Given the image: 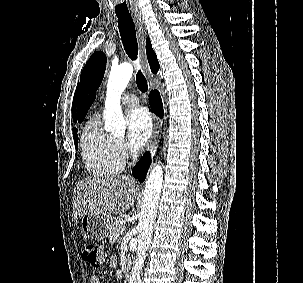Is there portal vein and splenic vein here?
<instances>
[{"instance_id": "obj_1", "label": "portal vein and splenic vein", "mask_w": 303, "mask_h": 283, "mask_svg": "<svg viewBox=\"0 0 303 283\" xmlns=\"http://www.w3.org/2000/svg\"><path fill=\"white\" fill-rule=\"evenodd\" d=\"M125 232V228L122 229L121 233L123 234Z\"/></svg>"}]
</instances>
